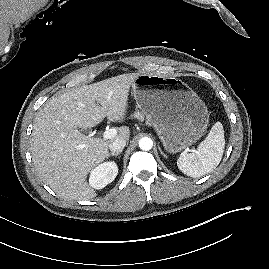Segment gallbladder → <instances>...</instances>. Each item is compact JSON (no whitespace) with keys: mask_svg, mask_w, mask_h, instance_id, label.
<instances>
[{"mask_svg":"<svg viewBox=\"0 0 269 269\" xmlns=\"http://www.w3.org/2000/svg\"><path fill=\"white\" fill-rule=\"evenodd\" d=\"M85 132L89 133V132H90V130H85Z\"/></svg>","mask_w":269,"mask_h":269,"instance_id":"bac80fb5","label":"gallbladder"}]
</instances>
